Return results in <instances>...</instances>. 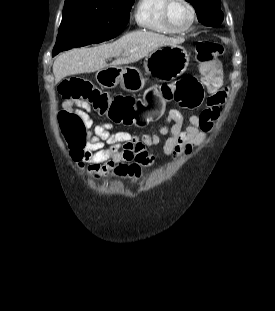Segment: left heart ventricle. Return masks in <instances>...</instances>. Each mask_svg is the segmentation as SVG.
Instances as JSON below:
<instances>
[{"label": "left heart ventricle", "instance_id": "left-heart-ventricle-1", "mask_svg": "<svg viewBox=\"0 0 275 311\" xmlns=\"http://www.w3.org/2000/svg\"><path fill=\"white\" fill-rule=\"evenodd\" d=\"M169 17L174 26L184 28L190 22L191 12L182 0H175L170 7Z\"/></svg>", "mask_w": 275, "mask_h": 311}]
</instances>
